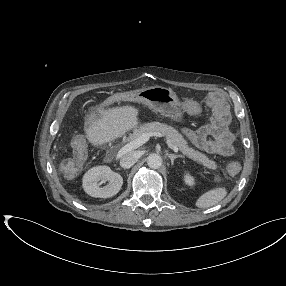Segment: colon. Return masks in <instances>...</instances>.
Returning a JSON list of instances; mask_svg holds the SVG:
<instances>
[{
	"label": "colon",
	"mask_w": 286,
	"mask_h": 286,
	"mask_svg": "<svg viewBox=\"0 0 286 286\" xmlns=\"http://www.w3.org/2000/svg\"><path fill=\"white\" fill-rule=\"evenodd\" d=\"M76 148H77L78 150H80V151L83 150V148L81 147V143H80V142H77V143H76ZM76 159H77V158H76ZM237 170H238V164H237V163H231V164L229 165V171H230L231 173H235V172H237Z\"/></svg>",
	"instance_id": "obj_1"
}]
</instances>
